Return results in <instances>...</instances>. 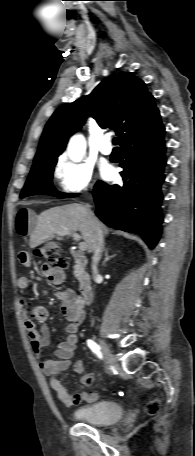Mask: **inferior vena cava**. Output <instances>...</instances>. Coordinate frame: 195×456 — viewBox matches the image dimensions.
Wrapping results in <instances>:
<instances>
[{
	"label": "inferior vena cava",
	"mask_w": 195,
	"mask_h": 456,
	"mask_svg": "<svg viewBox=\"0 0 195 456\" xmlns=\"http://www.w3.org/2000/svg\"><path fill=\"white\" fill-rule=\"evenodd\" d=\"M87 208L89 210L90 215L93 218L94 225H95V230H96L95 242H94V246H93L94 255L92 257V268H93L94 275L97 276L98 275L97 264H98V262H99V260L101 258V254H102L103 249H104V239H103L102 231L99 228L97 219L94 216V214L92 213V211L90 210V205H87Z\"/></svg>",
	"instance_id": "obj_1"
}]
</instances>
